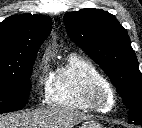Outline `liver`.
I'll list each match as a JSON object with an SVG mask.
<instances>
[{
  "label": "liver",
  "instance_id": "liver-1",
  "mask_svg": "<svg viewBox=\"0 0 142 128\" xmlns=\"http://www.w3.org/2000/svg\"><path fill=\"white\" fill-rule=\"evenodd\" d=\"M89 115L66 108H40L0 116V128H73Z\"/></svg>",
  "mask_w": 142,
  "mask_h": 128
}]
</instances>
